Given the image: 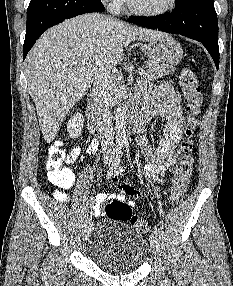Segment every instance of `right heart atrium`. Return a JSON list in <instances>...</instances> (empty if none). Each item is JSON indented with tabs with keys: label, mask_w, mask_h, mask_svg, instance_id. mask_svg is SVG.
Instances as JSON below:
<instances>
[{
	"label": "right heart atrium",
	"mask_w": 233,
	"mask_h": 286,
	"mask_svg": "<svg viewBox=\"0 0 233 286\" xmlns=\"http://www.w3.org/2000/svg\"><path fill=\"white\" fill-rule=\"evenodd\" d=\"M103 1L108 2L109 7L111 9H117L122 5L124 0H103Z\"/></svg>",
	"instance_id": "obj_1"
}]
</instances>
